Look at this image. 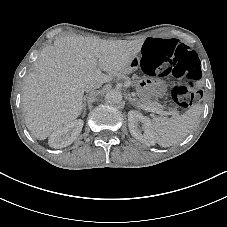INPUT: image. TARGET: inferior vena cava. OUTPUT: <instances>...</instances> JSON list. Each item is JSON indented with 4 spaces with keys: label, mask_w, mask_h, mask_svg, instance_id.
<instances>
[{
    "label": "inferior vena cava",
    "mask_w": 227,
    "mask_h": 227,
    "mask_svg": "<svg viewBox=\"0 0 227 227\" xmlns=\"http://www.w3.org/2000/svg\"><path fill=\"white\" fill-rule=\"evenodd\" d=\"M100 86V84L89 83L86 85V90L99 88Z\"/></svg>",
    "instance_id": "inferior-vena-cava-1"
}]
</instances>
